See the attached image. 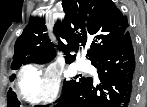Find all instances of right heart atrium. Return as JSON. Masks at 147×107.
<instances>
[{
    "instance_id": "right-heart-atrium-1",
    "label": "right heart atrium",
    "mask_w": 147,
    "mask_h": 107,
    "mask_svg": "<svg viewBox=\"0 0 147 107\" xmlns=\"http://www.w3.org/2000/svg\"><path fill=\"white\" fill-rule=\"evenodd\" d=\"M60 91V78L54 66L43 70L28 67L19 77V92L23 99L30 104L50 103Z\"/></svg>"
}]
</instances>
